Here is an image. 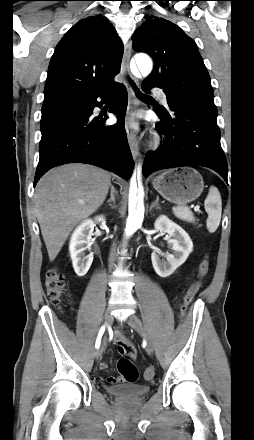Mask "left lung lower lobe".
Returning <instances> with one entry per match:
<instances>
[{"instance_id":"left-lung-lower-lobe-1","label":"left lung lower lobe","mask_w":254,"mask_h":440,"mask_svg":"<svg viewBox=\"0 0 254 440\" xmlns=\"http://www.w3.org/2000/svg\"><path fill=\"white\" fill-rule=\"evenodd\" d=\"M151 87L154 86L142 83L147 93ZM168 106L166 111H155L160 118L156 129L165 138L158 151L146 154L144 176L166 168L205 166L227 182L228 167L220 145L217 113L181 101L169 102Z\"/></svg>"}]
</instances>
